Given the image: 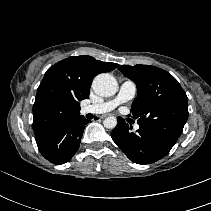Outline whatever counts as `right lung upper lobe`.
Instances as JSON below:
<instances>
[{
    "instance_id": "cb5924a9",
    "label": "right lung upper lobe",
    "mask_w": 211,
    "mask_h": 211,
    "mask_svg": "<svg viewBox=\"0 0 211 211\" xmlns=\"http://www.w3.org/2000/svg\"><path fill=\"white\" fill-rule=\"evenodd\" d=\"M117 66L86 55L69 57L51 66L33 105L35 136L79 116L80 101L89 97L93 78Z\"/></svg>"
}]
</instances>
